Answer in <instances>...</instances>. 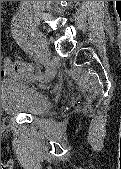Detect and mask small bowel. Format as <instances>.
I'll return each instance as SVG.
<instances>
[{"label":"small bowel","mask_w":121,"mask_h":169,"mask_svg":"<svg viewBox=\"0 0 121 169\" xmlns=\"http://www.w3.org/2000/svg\"><path fill=\"white\" fill-rule=\"evenodd\" d=\"M50 69L52 74H54V69L52 67H50ZM1 75L12 76L22 80H30L33 75V69L31 65L27 63L12 60L10 58H4L1 65Z\"/></svg>","instance_id":"c3829d8e"}]
</instances>
